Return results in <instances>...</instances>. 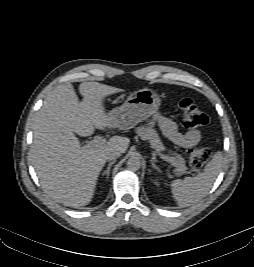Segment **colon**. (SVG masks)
Returning a JSON list of instances; mask_svg holds the SVG:
<instances>
[{"mask_svg":"<svg viewBox=\"0 0 254 267\" xmlns=\"http://www.w3.org/2000/svg\"><path fill=\"white\" fill-rule=\"evenodd\" d=\"M177 105L182 113L183 125L186 128L203 127L208 124V116L190 98L179 97ZM211 156L212 151L204 146H196L188 150L190 165L195 169L203 167Z\"/></svg>","mask_w":254,"mask_h":267,"instance_id":"1","label":"colon"}]
</instances>
